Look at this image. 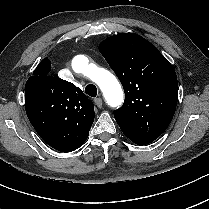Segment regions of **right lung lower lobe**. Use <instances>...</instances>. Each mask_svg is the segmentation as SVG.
Segmentation results:
<instances>
[{"mask_svg": "<svg viewBox=\"0 0 209 209\" xmlns=\"http://www.w3.org/2000/svg\"><path fill=\"white\" fill-rule=\"evenodd\" d=\"M37 133L52 148L61 152H71L68 150V145L65 142L56 140L55 136L50 131H46V132L37 131Z\"/></svg>", "mask_w": 209, "mask_h": 209, "instance_id": "obj_1", "label": "right lung lower lobe"}]
</instances>
